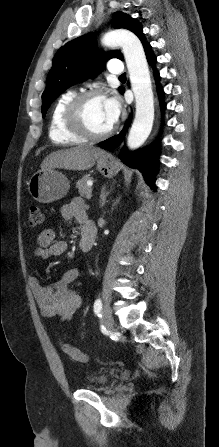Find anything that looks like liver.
<instances>
[{
    "label": "liver",
    "instance_id": "1",
    "mask_svg": "<svg viewBox=\"0 0 219 447\" xmlns=\"http://www.w3.org/2000/svg\"><path fill=\"white\" fill-rule=\"evenodd\" d=\"M105 152L100 148L80 145L50 153L41 163V169L64 168L67 170H88Z\"/></svg>",
    "mask_w": 219,
    "mask_h": 447
}]
</instances>
